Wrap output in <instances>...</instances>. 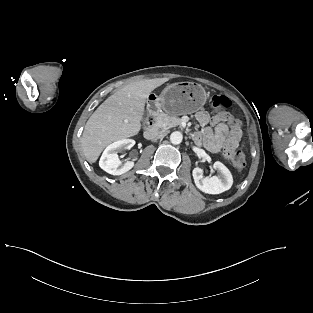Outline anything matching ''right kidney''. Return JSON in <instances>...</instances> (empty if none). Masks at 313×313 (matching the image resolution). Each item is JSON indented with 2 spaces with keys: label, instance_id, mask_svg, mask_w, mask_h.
<instances>
[{
  "label": "right kidney",
  "instance_id": "right-kidney-1",
  "mask_svg": "<svg viewBox=\"0 0 313 313\" xmlns=\"http://www.w3.org/2000/svg\"><path fill=\"white\" fill-rule=\"evenodd\" d=\"M135 144L133 139L118 140L106 147L104 150L99 166L101 169L112 175H121L133 168V161H126L124 164L118 158V152L124 149H131Z\"/></svg>",
  "mask_w": 313,
  "mask_h": 313
}]
</instances>
